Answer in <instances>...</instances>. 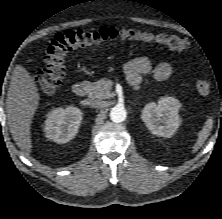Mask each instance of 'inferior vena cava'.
<instances>
[{
	"mask_svg": "<svg viewBox=\"0 0 222 219\" xmlns=\"http://www.w3.org/2000/svg\"><path fill=\"white\" fill-rule=\"evenodd\" d=\"M89 105L93 108H102L104 105V102L98 99H90Z\"/></svg>",
	"mask_w": 222,
	"mask_h": 219,
	"instance_id": "1",
	"label": "inferior vena cava"
}]
</instances>
